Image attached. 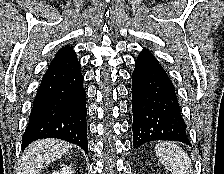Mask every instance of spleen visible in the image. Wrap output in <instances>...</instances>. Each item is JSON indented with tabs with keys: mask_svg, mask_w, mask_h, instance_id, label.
<instances>
[{
	"mask_svg": "<svg viewBox=\"0 0 224 174\" xmlns=\"http://www.w3.org/2000/svg\"><path fill=\"white\" fill-rule=\"evenodd\" d=\"M155 152L162 165L171 174H193L191 159L187 153L173 142H160Z\"/></svg>",
	"mask_w": 224,
	"mask_h": 174,
	"instance_id": "1",
	"label": "spleen"
}]
</instances>
